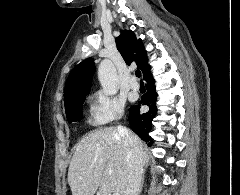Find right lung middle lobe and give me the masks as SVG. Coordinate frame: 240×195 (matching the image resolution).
Masks as SVG:
<instances>
[{
	"label": "right lung middle lobe",
	"mask_w": 240,
	"mask_h": 195,
	"mask_svg": "<svg viewBox=\"0 0 240 195\" xmlns=\"http://www.w3.org/2000/svg\"><path fill=\"white\" fill-rule=\"evenodd\" d=\"M85 98H79L65 106V112L69 123L83 119L82 104Z\"/></svg>",
	"instance_id": "right-lung-middle-lobe-1"
}]
</instances>
